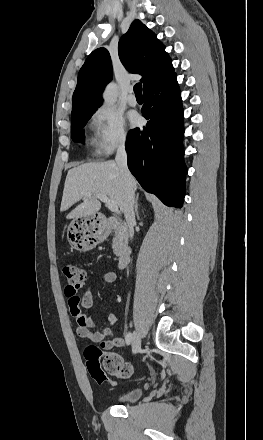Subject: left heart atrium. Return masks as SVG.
Wrapping results in <instances>:
<instances>
[{
  "instance_id": "left-heart-atrium-1",
  "label": "left heart atrium",
  "mask_w": 263,
  "mask_h": 440,
  "mask_svg": "<svg viewBox=\"0 0 263 440\" xmlns=\"http://www.w3.org/2000/svg\"><path fill=\"white\" fill-rule=\"evenodd\" d=\"M130 123L132 126H136L139 124V117L135 114L131 115L130 117Z\"/></svg>"
}]
</instances>
